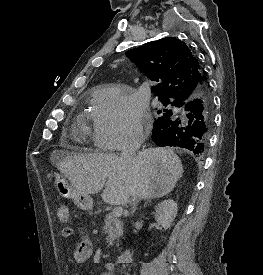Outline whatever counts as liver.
<instances>
[{"label":"liver","mask_w":263,"mask_h":275,"mask_svg":"<svg viewBox=\"0 0 263 275\" xmlns=\"http://www.w3.org/2000/svg\"><path fill=\"white\" fill-rule=\"evenodd\" d=\"M51 158L77 190L97 194L105 186L102 199L111 205L127 204L135 190L139 199L163 197L183 174L180 158L169 148L142 149L133 166L115 154L72 156L56 151Z\"/></svg>","instance_id":"obj_1"}]
</instances>
